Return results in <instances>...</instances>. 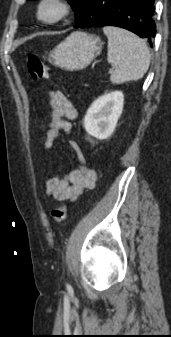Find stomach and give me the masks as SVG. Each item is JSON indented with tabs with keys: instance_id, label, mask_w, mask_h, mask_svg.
Wrapping results in <instances>:
<instances>
[{
	"instance_id": "stomach-1",
	"label": "stomach",
	"mask_w": 171,
	"mask_h": 337,
	"mask_svg": "<svg viewBox=\"0 0 171 337\" xmlns=\"http://www.w3.org/2000/svg\"><path fill=\"white\" fill-rule=\"evenodd\" d=\"M101 47L99 37L74 32L50 52L49 62L67 71L82 70L100 54Z\"/></svg>"
}]
</instances>
